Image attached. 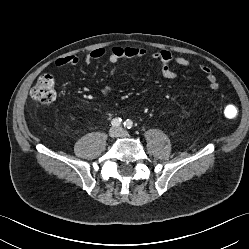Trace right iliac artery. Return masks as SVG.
Segmentation results:
<instances>
[{
	"label": "right iliac artery",
	"mask_w": 249,
	"mask_h": 249,
	"mask_svg": "<svg viewBox=\"0 0 249 249\" xmlns=\"http://www.w3.org/2000/svg\"><path fill=\"white\" fill-rule=\"evenodd\" d=\"M111 124L113 127H119L122 125V119L121 118H114L112 121H111Z\"/></svg>",
	"instance_id": "82829eb1"
}]
</instances>
